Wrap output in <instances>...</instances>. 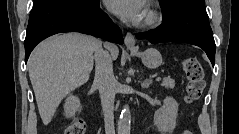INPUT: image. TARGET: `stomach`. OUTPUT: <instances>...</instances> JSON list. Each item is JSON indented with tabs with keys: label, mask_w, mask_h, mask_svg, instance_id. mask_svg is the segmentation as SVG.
<instances>
[{
	"label": "stomach",
	"mask_w": 239,
	"mask_h": 134,
	"mask_svg": "<svg viewBox=\"0 0 239 134\" xmlns=\"http://www.w3.org/2000/svg\"><path fill=\"white\" fill-rule=\"evenodd\" d=\"M132 51L141 58L142 63L148 68H157L162 64V56L154 48H149L144 52H138L137 49H132Z\"/></svg>",
	"instance_id": "0dacf381"
}]
</instances>
